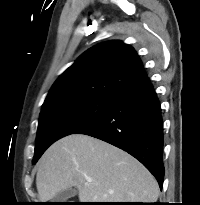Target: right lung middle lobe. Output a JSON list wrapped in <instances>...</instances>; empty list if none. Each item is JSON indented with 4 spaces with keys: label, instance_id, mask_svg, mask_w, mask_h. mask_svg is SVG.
Masks as SVG:
<instances>
[{
    "label": "right lung middle lobe",
    "instance_id": "obj_1",
    "mask_svg": "<svg viewBox=\"0 0 200 205\" xmlns=\"http://www.w3.org/2000/svg\"><path fill=\"white\" fill-rule=\"evenodd\" d=\"M114 100L99 96H79L43 108L39 118L33 164L53 142L73 134L97 119Z\"/></svg>",
    "mask_w": 200,
    "mask_h": 205
}]
</instances>
